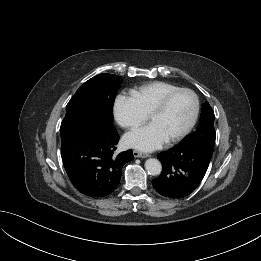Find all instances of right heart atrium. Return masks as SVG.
<instances>
[{
    "mask_svg": "<svg viewBox=\"0 0 261 261\" xmlns=\"http://www.w3.org/2000/svg\"><path fill=\"white\" fill-rule=\"evenodd\" d=\"M113 112L116 122L128 130L137 128L147 118L133 95H119L114 103Z\"/></svg>",
    "mask_w": 261,
    "mask_h": 261,
    "instance_id": "obj_1",
    "label": "right heart atrium"
}]
</instances>
